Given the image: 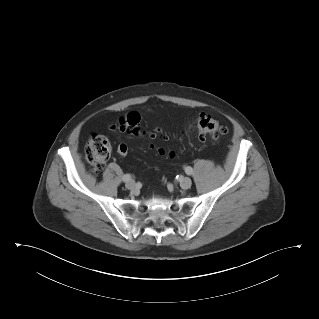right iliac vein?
I'll return each instance as SVG.
<instances>
[{
	"label": "right iliac vein",
	"instance_id": "obj_1",
	"mask_svg": "<svg viewBox=\"0 0 319 319\" xmlns=\"http://www.w3.org/2000/svg\"><path fill=\"white\" fill-rule=\"evenodd\" d=\"M125 186L129 190H134L136 188V183L133 180H130L126 183Z\"/></svg>",
	"mask_w": 319,
	"mask_h": 319
}]
</instances>
